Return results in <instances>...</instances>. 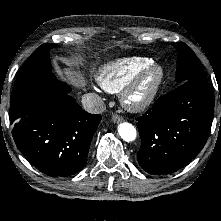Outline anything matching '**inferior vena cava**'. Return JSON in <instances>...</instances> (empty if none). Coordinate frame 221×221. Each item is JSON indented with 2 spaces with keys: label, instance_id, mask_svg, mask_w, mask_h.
Instances as JSON below:
<instances>
[{
  "label": "inferior vena cava",
  "instance_id": "1",
  "mask_svg": "<svg viewBox=\"0 0 221 221\" xmlns=\"http://www.w3.org/2000/svg\"><path fill=\"white\" fill-rule=\"evenodd\" d=\"M81 103L84 110L90 113L100 114L105 110L104 101L99 95L95 93L84 94L82 96Z\"/></svg>",
  "mask_w": 221,
  "mask_h": 221
}]
</instances>
